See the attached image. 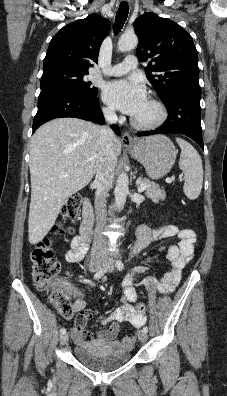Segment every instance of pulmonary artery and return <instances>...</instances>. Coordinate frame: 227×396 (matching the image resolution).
<instances>
[{
    "instance_id": "pulmonary-artery-1",
    "label": "pulmonary artery",
    "mask_w": 227,
    "mask_h": 396,
    "mask_svg": "<svg viewBox=\"0 0 227 396\" xmlns=\"http://www.w3.org/2000/svg\"><path fill=\"white\" fill-rule=\"evenodd\" d=\"M138 61L135 56H127L123 62L113 65L103 71L104 74L110 76H120L137 67Z\"/></svg>"
}]
</instances>
